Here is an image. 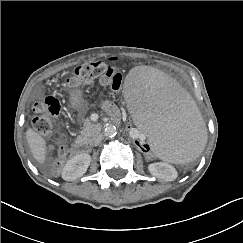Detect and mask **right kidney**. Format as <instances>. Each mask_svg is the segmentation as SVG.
Masks as SVG:
<instances>
[{
  "instance_id": "obj_1",
  "label": "right kidney",
  "mask_w": 243,
  "mask_h": 243,
  "mask_svg": "<svg viewBox=\"0 0 243 243\" xmlns=\"http://www.w3.org/2000/svg\"><path fill=\"white\" fill-rule=\"evenodd\" d=\"M91 162V156L83 153L72 157L67 161L63 171L62 178L66 181H72L83 176Z\"/></svg>"
}]
</instances>
